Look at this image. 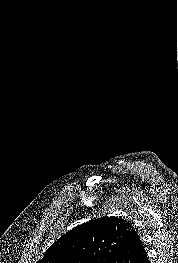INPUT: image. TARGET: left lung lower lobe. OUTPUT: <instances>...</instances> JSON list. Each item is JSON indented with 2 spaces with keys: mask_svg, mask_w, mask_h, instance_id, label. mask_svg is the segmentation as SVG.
Here are the masks:
<instances>
[{
  "mask_svg": "<svg viewBox=\"0 0 178 263\" xmlns=\"http://www.w3.org/2000/svg\"><path fill=\"white\" fill-rule=\"evenodd\" d=\"M109 263H149L144 246L133 227Z\"/></svg>",
  "mask_w": 178,
  "mask_h": 263,
  "instance_id": "left-lung-lower-lobe-1",
  "label": "left lung lower lobe"
}]
</instances>
